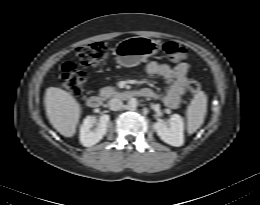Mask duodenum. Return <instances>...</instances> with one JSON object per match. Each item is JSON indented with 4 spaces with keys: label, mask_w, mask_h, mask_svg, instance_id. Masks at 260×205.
<instances>
[{
    "label": "duodenum",
    "mask_w": 260,
    "mask_h": 205,
    "mask_svg": "<svg viewBox=\"0 0 260 205\" xmlns=\"http://www.w3.org/2000/svg\"><path fill=\"white\" fill-rule=\"evenodd\" d=\"M116 98L122 100H129L138 96H142L141 90H121L115 93ZM87 105L92 109H97L102 107L103 98L99 95H91L87 98Z\"/></svg>",
    "instance_id": "duodenum-1"
}]
</instances>
